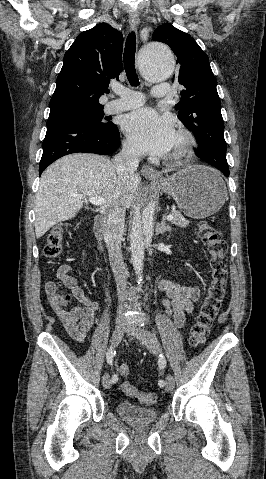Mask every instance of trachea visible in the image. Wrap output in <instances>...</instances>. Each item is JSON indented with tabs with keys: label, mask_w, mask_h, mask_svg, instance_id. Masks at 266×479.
<instances>
[{
	"label": "trachea",
	"mask_w": 266,
	"mask_h": 479,
	"mask_svg": "<svg viewBox=\"0 0 266 479\" xmlns=\"http://www.w3.org/2000/svg\"><path fill=\"white\" fill-rule=\"evenodd\" d=\"M136 35L131 32L126 40L124 50V69L127 79L132 86L139 85V78L135 69Z\"/></svg>",
	"instance_id": "1"
}]
</instances>
